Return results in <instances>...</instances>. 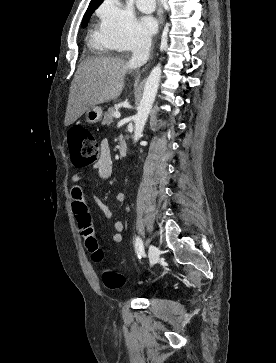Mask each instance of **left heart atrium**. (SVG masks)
<instances>
[{
    "instance_id": "obj_1",
    "label": "left heart atrium",
    "mask_w": 276,
    "mask_h": 363,
    "mask_svg": "<svg viewBox=\"0 0 276 363\" xmlns=\"http://www.w3.org/2000/svg\"><path fill=\"white\" fill-rule=\"evenodd\" d=\"M141 28L146 35H152L158 28V21L151 15H144L140 19Z\"/></svg>"
}]
</instances>
